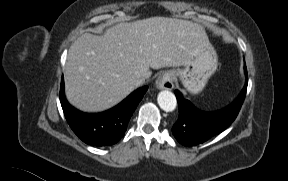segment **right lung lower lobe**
Segmentation results:
<instances>
[{"instance_id": "98d812e1", "label": "right lung lower lobe", "mask_w": 288, "mask_h": 181, "mask_svg": "<svg viewBox=\"0 0 288 181\" xmlns=\"http://www.w3.org/2000/svg\"><path fill=\"white\" fill-rule=\"evenodd\" d=\"M147 89V86L137 89L108 111L88 114L75 109L67 102L62 79L60 102L69 126L83 142L97 147L110 146L124 136L129 120Z\"/></svg>"}]
</instances>
